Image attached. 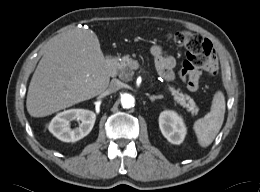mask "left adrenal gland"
<instances>
[{
    "instance_id": "a2214340",
    "label": "left adrenal gland",
    "mask_w": 260,
    "mask_h": 192,
    "mask_svg": "<svg viewBox=\"0 0 260 192\" xmlns=\"http://www.w3.org/2000/svg\"><path fill=\"white\" fill-rule=\"evenodd\" d=\"M163 96L162 95H158V96H155V95H149V99L151 102H154L156 99H162Z\"/></svg>"
}]
</instances>
